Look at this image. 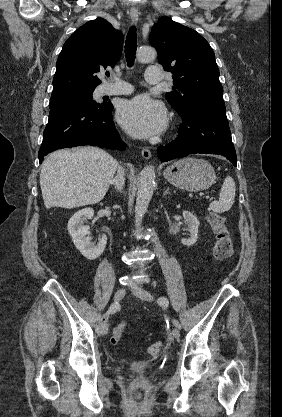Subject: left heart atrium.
Listing matches in <instances>:
<instances>
[{
    "label": "left heart atrium",
    "mask_w": 282,
    "mask_h": 417,
    "mask_svg": "<svg viewBox=\"0 0 282 417\" xmlns=\"http://www.w3.org/2000/svg\"><path fill=\"white\" fill-rule=\"evenodd\" d=\"M118 119L130 133L149 136L163 130L166 113L161 103L146 96H139L121 105Z\"/></svg>",
    "instance_id": "1"
}]
</instances>
